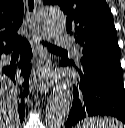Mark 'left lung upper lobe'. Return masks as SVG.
I'll use <instances>...</instances> for the list:
<instances>
[{"instance_id": "5c2ea615", "label": "left lung upper lobe", "mask_w": 125, "mask_h": 128, "mask_svg": "<svg viewBox=\"0 0 125 128\" xmlns=\"http://www.w3.org/2000/svg\"><path fill=\"white\" fill-rule=\"evenodd\" d=\"M57 5L66 14L67 32L74 35L82 50L77 70L89 71L103 67H120L121 52L112 13L105 0H43Z\"/></svg>"}]
</instances>
